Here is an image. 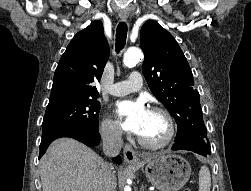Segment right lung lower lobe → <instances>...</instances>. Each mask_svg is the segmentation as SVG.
I'll use <instances>...</instances> for the list:
<instances>
[{"label": "right lung lower lobe", "instance_id": "right-lung-lower-lobe-1", "mask_svg": "<svg viewBox=\"0 0 251 191\" xmlns=\"http://www.w3.org/2000/svg\"><path fill=\"white\" fill-rule=\"evenodd\" d=\"M61 137L74 138L89 147H95L100 142L99 130H90L79 126L64 127L42 136L39 158L46 152L52 141ZM113 161L118 164L122 162L119 156L113 158Z\"/></svg>", "mask_w": 251, "mask_h": 191}]
</instances>
